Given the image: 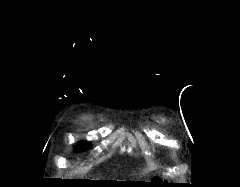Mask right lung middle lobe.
<instances>
[{"instance_id": "right-lung-middle-lobe-1", "label": "right lung middle lobe", "mask_w": 240, "mask_h": 187, "mask_svg": "<svg viewBox=\"0 0 240 187\" xmlns=\"http://www.w3.org/2000/svg\"><path fill=\"white\" fill-rule=\"evenodd\" d=\"M80 148H83V149H84V148H86V145H83V146H81Z\"/></svg>"}]
</instances>
